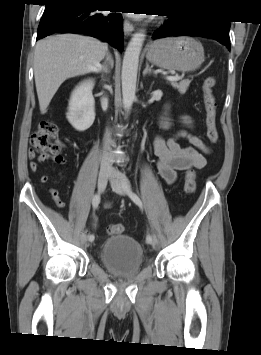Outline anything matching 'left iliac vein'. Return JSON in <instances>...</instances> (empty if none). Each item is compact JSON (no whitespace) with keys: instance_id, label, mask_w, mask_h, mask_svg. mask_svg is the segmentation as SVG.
Instances as JSON below:
<instances>
[{"instance_id":"obj_1","label":"left iliac vein","mask_w":261,"mask_h":355,"mask_svg":"<svg viewBox=\"0 0 261 355\" xmlns=\"http://www.w3.org/2000/svg\"><path fill=\"white\" fill-rule=\"evenodd\" d=\"M110 183L112 186V189L119 195H125L126 194V189L124 185H127L129 187V182L127 181V179H125V177L121 174H119V172L113 168L111 170V174H110ZM153 245V247H156L158 245V241L156 239V237L153 238V241L150 243Z\"/></svg>"}]
</instances>
